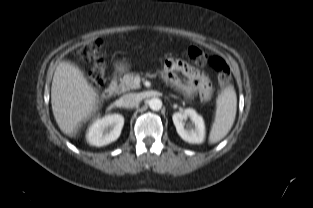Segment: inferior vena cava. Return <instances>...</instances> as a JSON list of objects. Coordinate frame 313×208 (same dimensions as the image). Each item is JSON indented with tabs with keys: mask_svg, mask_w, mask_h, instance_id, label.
I'll use <instances>...</instances> for the list:
<instances>
[{
	"mask_svg": "<svg viewBox=\"0 0 313 208\" xmlns=\"http://www.w3.org/2000/svg\"><path fill=\"white\" fill-rule=\"evenodd\" d=\"M140 102V98L135 93H129L126 95H123L120 98V103L125 108H133L136 105H138Z\"/></svg>",
	"mask_w": 313,
	"mask_h": 208,
	"instance_id": "1",
	"label": "inferior vena cava"
}]
</instances>
